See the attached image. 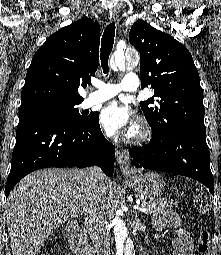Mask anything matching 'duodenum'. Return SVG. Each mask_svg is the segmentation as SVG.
Returning a JSON list of instances; mask_svg holds the SVG:
<instances>
[{"instance_id": "obj_1", "label": "duodenum", "mask_w": 221, "mask_h": 255, "mask_svg": "<svg viewBox=\"0 0 221 255\" xmlns=\"http://www.w3.org/2000/svg\"><path fill=\"white\" fill-rule=\"evenodd\" d=\"M67 234L71 248L77 255H94L84 240L83 233L77 222L72 221L67 226Z\"/></svg>"}]
</instances>
